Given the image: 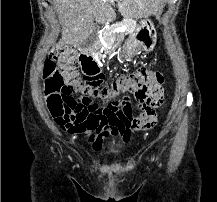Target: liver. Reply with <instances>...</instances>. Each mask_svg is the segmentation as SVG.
Wrapping results in <instances>:
<instances>
[{
    "mask_svg": "<svg viewBox=\"0 0 217 202\" xmlns=\"http://www.w3.org/2000/svg\"><path fill=\"white\" fill-rule=\"evenodd\" d=\"M53 2L60 16L62 38L60 46L81 44L92 34L95 24H108L115 14L112 4L117 2L123 18H148L162 10L166 0H48Z\"/></svg>",
    "mask_w": 217,
    "mask_h": 202,
    "instance_id": "obj_1",
    "label": "liver"
}]
</instances>
